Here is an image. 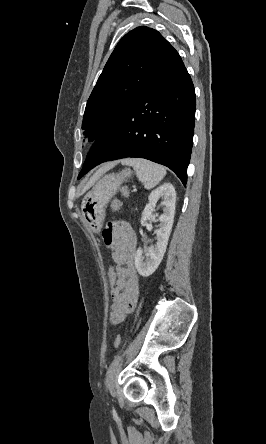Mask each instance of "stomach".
Masks as SVG:
<instances>
[{
  "label": "stomach",
  "instance_id": "0dacf381",
  "mask_svg": "<svg viewBox=\"0 0 266 444\" xmlns=\"http://www.w3.org/2000/svg\"><path fill=\"white\" fill-rule=\"evenodd\" d=\"M132 176L130 169L103 176L83 198L81 212L84 221L95 231L102 227L107 204L121 184Z\"/></svg>",
  "mask_w": 266,
  "mask_h": 444
}]
</instances>
